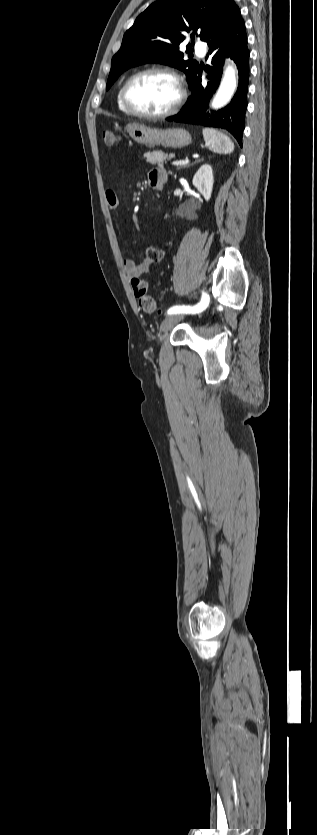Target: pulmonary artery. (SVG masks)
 Listing matches in <instances>:
<instances>
[{
	"mask_svg": "<svg viewBox=\"0 0 317 835\" xmlns=\"http://www.w3.org/2000/svg\"><path fill=\"white\" fill-rule=\"evenodd\" d=\"M206 51H207V47H206L205 43L197 42L195 44V52H196L197 55L202 57V56L205 55Z\"/></svg>",
	"mask_w": 317,
	"mask_h": 835,
	"instance_id": "obj_1",
	"label": "pulmonary artery"
}]
</instances>
